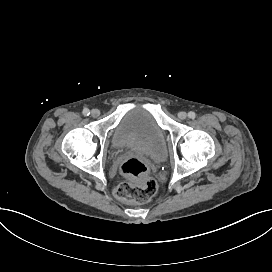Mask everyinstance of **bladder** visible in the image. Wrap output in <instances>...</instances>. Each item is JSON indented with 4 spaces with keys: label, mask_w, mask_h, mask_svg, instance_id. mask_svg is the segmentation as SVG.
Instances as JSON below:
<instances>
[{
    "label": "bladder",
    "mask_w": 272,
    "mask_h": 272,
    "mask_svg": "<svg viewBox=\"0 0 272 272\" xmlns=\"http://www.w3.org/2000/svg\"><path fill=\"white\" fill-rule=\"evenodd\" d=\"M132 107L119 116L109 142L112 150L134 149L143 156H149L156 163L163 162L166 156L165 131L158 119L144 108Z\"/></svg>",
    "instance_id": "bladder-1"
}]
</instances>
